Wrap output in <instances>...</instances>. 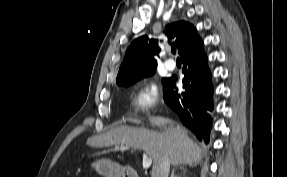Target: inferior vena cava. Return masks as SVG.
Returning a JSON list of instances; mask_svg holds the SVG:
<instances>
[{
  "instance_id": "1",
  "label": "inferior vena cava",
  "mask_w": 287,
  "mask_h": 177,
  "mask_svg": "<svg viewBox=\"0 0 287 177\" xmlns=\"http://www.w3.org/2000/svg\"><path fill=\"white\" fill-rule=\"evenodd\" d=\"M170 171V161L168 158H164L159 168L157 169L154 177H168Z\"/></svg>"
}]
</instances>
